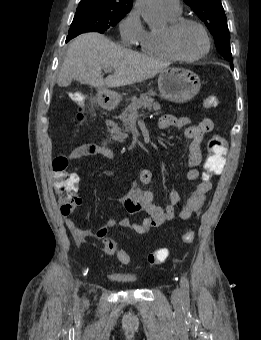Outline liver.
I'll return each mask as SVG.
<instances>
[{
    "label": "liver",
    "instance_id": "6515ba94",
    "mask_svg": "<svg viewBox=\"0 0 261 340\" xmlns=\"http://www.w3.org/2000/svg\"><path fill=\"white\" fill-rule=\"evenodd\" d=\"M167 63L126 49L103 35L90 32L76 37L70 44L57 83L68 86L72 80L101 89L120 87L154 77ZM113 73L103 78L102 70Z\"/></svg>",
    "mask_w": 261,
    "mask_h": 340
}]
</instances>
